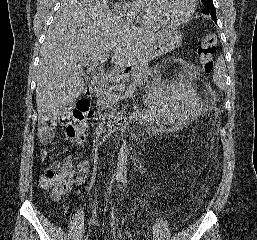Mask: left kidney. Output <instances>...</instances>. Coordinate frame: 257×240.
Masks as SVG:
<instances>
[{"label":"left kidney","instance_id":"left-kidney-1","mask_svg":"<svg viewBox=\"0 0 257 240\" xmlns=\"http://www.w3.org/2000/svg\"><path fill=\"white\" fill-rule=\"evenodd\" d=\"M157 109V118L176 129L183 128L198 116L193 90L180 83L160 92Z\"/></svg>","mask_w":257,"mask_h":240}]
</instances>
